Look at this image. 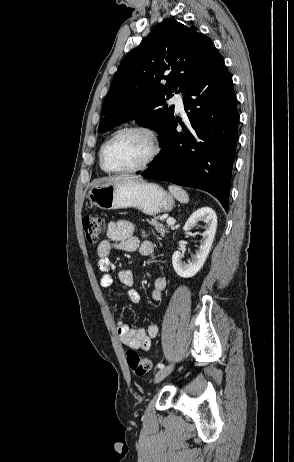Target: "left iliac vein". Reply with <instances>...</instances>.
<instances>
[{"label":"left iliac vein","mask_w":294,"mask_h":462,"mask_svg":"<svg viewBox=\"0 0 294 462\" xmlns=\"http://www.w3.org/2000/svg\"><path fill=\"white\" fill-rule=\"evenodd\" d=\"M173 371V367L169 366L164 369H160L156 374H155V382H160L163 380L166 376H168L171 372Z\"/></svg>","instance_id":"1"}]
</instances>
